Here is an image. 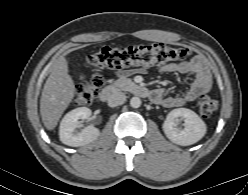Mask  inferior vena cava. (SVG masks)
<instances>
[{
	"mask_svg": "<svg viewBox=\"0 0 248 195\" xmlns=\"http://www.w3.org/2000/svg\"><path fill=\"white\" fill-rule=\"evenodd\" d=\"M126 101V95L121 91H115L108 99V105L110 107H116L122 105Z\"/></svg>",
	"mask_w": 248,
	"mask_h": 195,
	"instance_id": "obj_1",
	"label": "inferior vena cava"
}]
</instances>
